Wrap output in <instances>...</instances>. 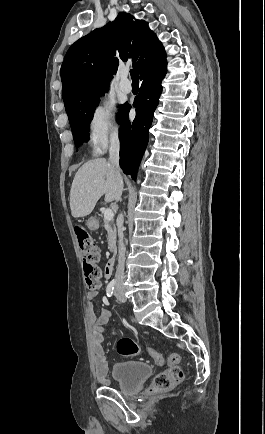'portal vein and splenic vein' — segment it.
<instances>
[{"label": "portal vein and splenic vein", "mask_w": 265, "mask_h": 434, "mask_svg": "<svg viewBox=\"0 0 265 434\" xmlns=\"http://www.w3.org/2000/svg\"><path fill=\"white\" fill-rule=\"evenodd\" d=\"M114 214L112 210H105L104 212V220H107V222H110V220H113Z\"/></svg>", "instance_id": "1"}]
</instances>
